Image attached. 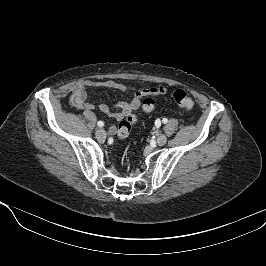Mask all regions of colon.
Segmentation results:
<instances>
[{
  "label": "colon",
  "instance_id": "5ec220e1",
  "mask_svg": "<svg viewBox=\"0 0 266 266\" xmlns=\"http://www.w3.org/2000/svg\"><path fill=\"white\" fill-rule=\"evenodd\" d=\"M173 99L178 107L184 110L193 109L195 102L193 98L182 89H177L173 92ZM156 106L155 99L148 97L143 101V111L151 112ZM137 115H130L123 120L117 129V134L120 138L129 136L133 125L137 122Z\"/></svg>",
  "mask_w": 266,
  "mask_h": 266
}]
</instances>
